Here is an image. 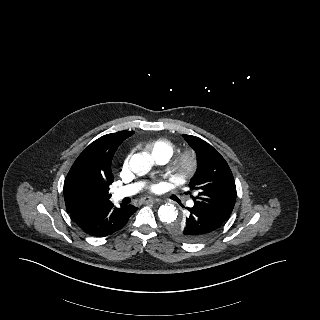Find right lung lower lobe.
I'll return each mask as SVG.
<instances>
[{
	"label": "right lung lower lobe",
	"mask_w": 320,
	"mask_h": 320,
	"mask_svg": "<svg viewBox=\"0 0 320 320\" xmlns=\"http://www.w3.org/2000/svg\"><path fill=\"white\" fill-rule=\"evenodd\" d=\"M137 210L138 208L133 205L124 204L117 208L108 200L72 211L70 215L85 233L95 237H105L124 227Z\"/></svg>",
	"instance_id": "1"
}]
</instances>
